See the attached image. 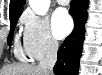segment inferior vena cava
Here are the masks:
<instances>
[{"label":"inferior vena cava","instance_id":"obj_1","mask_svg":"<svg viewBox=\"0 0 102 75\" xmlns=\"http://www.w3.org/2000/svg\"><path fill=\"white\" fill-rule=\"evenodd\" d=\"M58 42L54 39H50L47 44V51L45 58L39 62L38 68L46 72L47 74H51L52 69L57 60V51H58Z\"/></svg>","mask_w":102,"mask_h":75}]
</instances>
